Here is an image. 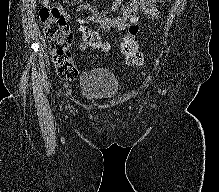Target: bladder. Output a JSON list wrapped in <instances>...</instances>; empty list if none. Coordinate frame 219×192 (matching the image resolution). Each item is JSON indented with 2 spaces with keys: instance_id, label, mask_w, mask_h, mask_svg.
<instances>
[{
  "instance_id": "31cf9c89",
  "label": "bladder",
  "mask_w": 219,
  "mask_h": 192,
  "mask_svg": "<svg viewBox=\"0 0 219 192\" xmlns=\"http://www.w3.org/2000/svg\"><path fill=\"white\" fill-rule=\"evenodd\" d=\"M119 89L115 74L107 69L94 67L81 77V92L90 101H105L112 98Z\"/></svg>"
}]
</instances>
